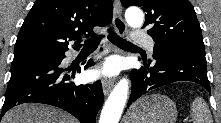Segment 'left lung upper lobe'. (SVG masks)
Segmentation results:
<instances>
[{"instance_id": "obj_1", "label": "left lung upper lobe", "mask_w": 221, "mask_h": 123, "mask_svg": "<svg viewBox=\"0 0 221 123\" xmlns=\"http://www.w3.org/2000/svg\"><path fill=\"white\" fill-rule=\"evenodd\" d=\"M124 7L146 12L144 27L155 41L154 52H193L205 55L201 28L188 0H121Z\"/></svg>"}]
</instances>
